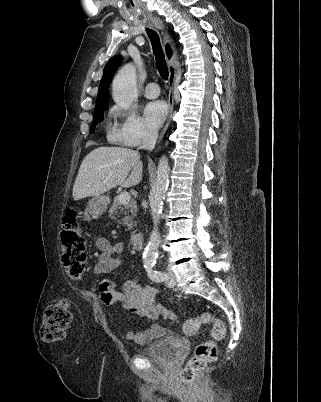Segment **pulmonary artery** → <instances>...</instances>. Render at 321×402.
Instances as JSON below:
<instances>
[{
	"mask_svg": "<svg viewBox=\"0 0 321 402\" xmlns=\"http://www.w3.org/2000/svg\"><path fill=\"white\" fill-rule=\"evenodd\" d=\"M144 95L149 99L157 98L160 95L159 86L154 82L147 84L144 88Z\"/></svg>",
	"mask_w": 321,
	"mask_h": 402,
	"instance_id": "1",
	"label": "pulmonary artery"
}]
</instances>
